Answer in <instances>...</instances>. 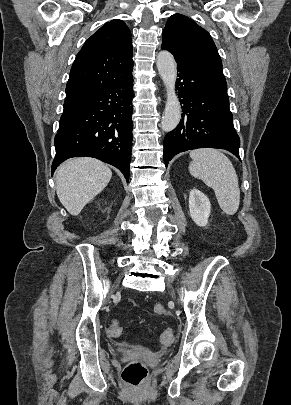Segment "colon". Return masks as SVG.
Returning <instances> with one entry per match:
<instances>
[{"label":"colon","mask_w":291,"mask_h":405,"mask_svg":"<svg viewBox=\"0 0 291 405\" xmlns=\"http://www.w3.org/2000/svg\"><path fill=\"white\" fill-rule=\"evenodd\" d=\"M154 312L158 315H165V308L157 304L154 306ZM109 335L111 337H119L123 332V327L117 321L112 322L109 327ZM174 341V333L172 329L168 328L163 331L160 336V343L162 345H169ZM148 370L145 363L141 360H134L128 363L122 371V379L129 385L138 386L140 385L147 377Z\"/></svg>","instance_id":"1"}]
</instances>
